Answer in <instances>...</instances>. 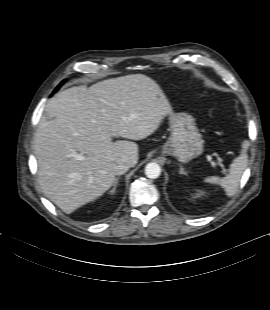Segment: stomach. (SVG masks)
I'll return each mask as SVG.
<instances>
[{
    "mask_svg": "<svg viewBox=\"0 0 270 310\" xmlns=\"http://www.w3.org/2000/svg\"><path fill=\"white\" fill-rule=\"evenodd\" d=\"M171 135L162 147V153L177 158L181 163L189 162L203 152L204 141L195 119L188 113L169 114Z\"/></svg>",
    "mask_w": 270,
    "mask_h": 310,
    "instance_id": "1",
    "label": "stomach"
}]
</instances>
